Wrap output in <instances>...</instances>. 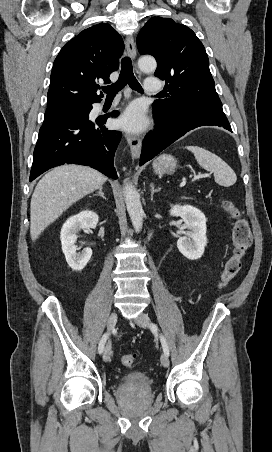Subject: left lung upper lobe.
<instances>
[{
    "label": "left lung upper lobe",
    "mask_w": 272,
    "mask_h": 452,
    "mask_svg": "<svg viewBox=\"0 0 272 452\" xmlns=\"http://www.w3.org/2000/svg\"><path fill=\"white\" fill-rule=\"evenodd\" d=\"M137 46L140 54L155 57L154 75L166 81L168 98L156 100V110L171 116L197 109L223 111L207 53L190 28L170 18L153 17L139 32Z\"/></svg>",
    "instance_id": "1"
}]
</instances>
